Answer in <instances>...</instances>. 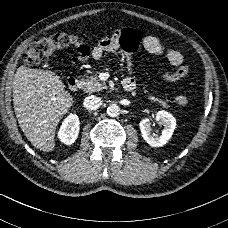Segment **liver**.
<instances>
[{"mask_svg":"<svg viewBox=\"0 0 228 228\" xmlns=\"http://www.w3.org/2000/svg\"><path fill=\"white\" fill-rule=\"evenodd\" d=\"M14 111L28 141L40 151L56 148V131L74 105L61 78L50 70L22 65L16 73Z\"/></svg>","mask_w":228,"mask_h":228,"instance_id":"6515ba94","label":"liver"}]
</instances>
